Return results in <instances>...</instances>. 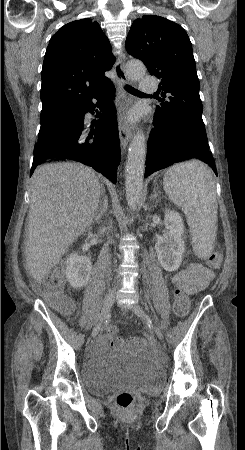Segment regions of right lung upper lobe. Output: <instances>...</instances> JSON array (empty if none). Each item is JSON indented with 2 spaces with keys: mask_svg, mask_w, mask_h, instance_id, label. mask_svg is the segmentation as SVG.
Wrapping results in <instances>:
<instances>
[{
  "mask_svg": "<svg viewBox=\"0 0 245 450\" xmlns=\"http://www.w3.org/2000/svg\"><path fill=\"white\" fill-rule=\"evenodd\" d=\"M115 62L111 45L97 22L81 19L50 39L42 68V111L71 108L97 93L110 80L104 73Z\"/></svg>",
  "mask_w": 245,
  "mask_h": 450,
  "instance_id": "1",
  "label": "right lung upper lobe"
}]
</instances>
